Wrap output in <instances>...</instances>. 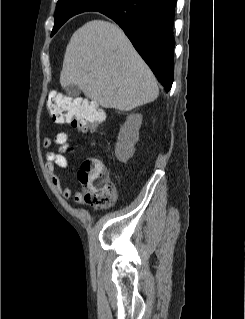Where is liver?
<instances>
[{"instance_id":"6515ba94","label":"liver","mask_w":245,"mask_h":319,"mask_svg":"<svg viewBox=\"0 0 245 319\" xmlns=\"http://www.w3.org/2000/svg\"><path fill=\"white\" fill-rule=\"evenodd\" d=\"M60 84L78 86L104 108L130 111L159 95L150 68L124 32L104 20H92L72 35L64 55Z\"/></svg>"}]
</instances>
